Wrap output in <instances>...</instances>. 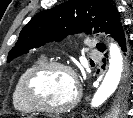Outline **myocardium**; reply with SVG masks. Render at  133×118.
<instances>
[{
  "mask_svg": "<svg viewBox=\"0 0 133 118\" xmlns=\"http://www.w3.org/2000/svg\"><path fill=\"white\" fill-rule=\"evenodd\" d=\"M53 69H60L67 71L71 75L74 81L75 96L66 105L57 106V107L48 106L44 104L37 97L36 94L37 81L44 73ZM23 94L27 103L36 111L45 112V113H65L72 110L79 103L81 98V88L76 73L70 65L60 61H49V62H44L41 65L37 66L26 76L23 83Z\"/></svg>",
  "mask_w": 133,
  "mask_h": 118,
  "instance_id": "1",
  "label": "myocardium"
}]
</instances>
